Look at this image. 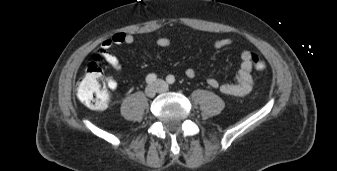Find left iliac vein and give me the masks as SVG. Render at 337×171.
I'll use <instances>...</instances> for the list:
<instances>
[{"mask_svg":"<svg viewBox=\"0 0 337 171\" xmlns=\"http://www.w3.org/2000/svg\"><path fill=\"white\" fill-rule=\"evenodd\" d=\"M155 86L158 88L159 92H165L168 89L166 82L161 79L156 80Z\"/></svg>","mask_w":337,"mask_h":171,"instance_id":"left-iliac-vein-1","label":"left iliac vein"}]
</instances>
